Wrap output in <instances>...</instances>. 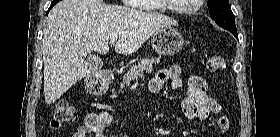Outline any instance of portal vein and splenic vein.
I'll return each mask as SVG.
<instances>
[{
    "label": "portal vein and splenic vein",
    "mask_w": 280,
    "mask_h": 137,
    "mask_svg": "<svg viewBox=\"0 0 280 137\" xmlns=\"http://www.w3.org/2000/svg\"><path fill=\"white\" fill-rule=\"evenodd\" d=\"M118 39V35H114L111 37V43H114L115 41H117Z\"/></svg>",
    "instance_id": "portal-vein-and-splenic-vein-1"
}]
</instances>
